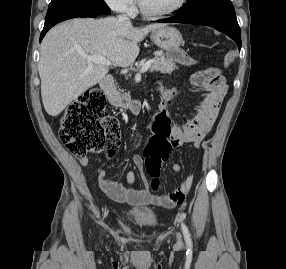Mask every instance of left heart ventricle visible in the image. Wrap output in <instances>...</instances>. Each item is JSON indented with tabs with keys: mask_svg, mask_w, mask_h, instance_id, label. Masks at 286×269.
<instances>
[{
	"mask_svg": "<svg viewBox=\"0 0 286 269\" xmlns=\"http://www.w3.org/2000/svg\"><path fill=\"white\" fill-rule=\"evenodd\" d=\"M178 0H142L146 9L152 12H160L174 6Z\"/></svg>",
	"mask_w": 286,
	"mask_h": 269,
	"instance_id": "obj_1",
	"label": "left heart ventricle"
}]
</instances>
